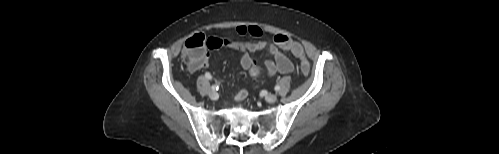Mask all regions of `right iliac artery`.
Instances as JSON below:
<instances>
[{"mask_svg": "<svg viewBox=\"0 0 499 154\" xmlns=\"http://www.w3.org/2000/svg\"><path fill=\"white\" fill-rule=\"evenodd\" d=\"M205 77H206L207 79H209V80H211V79H212V76H211V74H210V73H206V74H205ZM211 89H212L213 91H217V90L219 89V86H218L217 84H214V85H212Z\"/></svg>", "mask_w": 499, "mask_h": 154, "instance_id": "right-iliac-artery-1", "label": "right iliac artery"}]
</instances>
